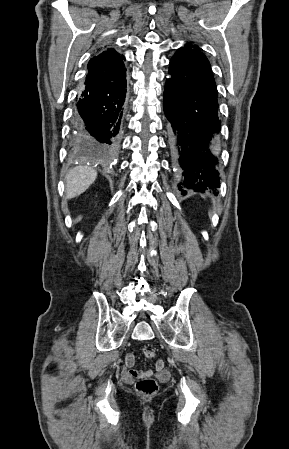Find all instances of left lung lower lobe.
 Segmentation results:
<instances>
[{"instance_id": "obj_1", "label": "left lung lower lobe", "mask_w": 289, "mask_h": 449, "mask_svg": "<svg viewBox=\"0 0 289 449\" xmlns=\"http://www.w3.org/2000/svg\"><path fill=\"white\" fill-rule=\"evenodd\" d=\"M169 74L163 107L169 121V146L182 169L178 188L183 194L216 189L220 185L216 138L221 121L209 61L200 50L183 47L172 57Z\"/></svg>"}]
</instances>
